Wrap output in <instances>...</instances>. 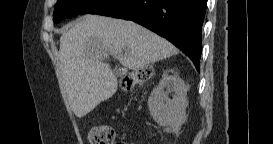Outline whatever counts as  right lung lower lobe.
Listing matches in <instances>:
<instances>
[{
  "label": "right lung lower lobe",
  "instance_id": "98d812e1",
  "mask_svg": "<svg viewBox=\"0 0 273 144\" xmlns=\"http://www.w3.org/2000/svg\"><path fill=\"white\" fill-rule=\"evenodd\" d=\"M207 0H109L91 14L132 20L166 38L200 69Z\"/></svg>",
  "mask_w": 273,
  "mask_h": 144
}]
</instances>
